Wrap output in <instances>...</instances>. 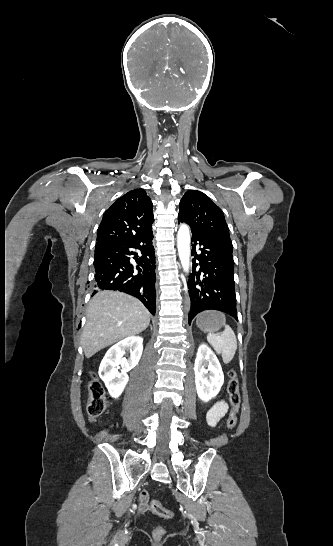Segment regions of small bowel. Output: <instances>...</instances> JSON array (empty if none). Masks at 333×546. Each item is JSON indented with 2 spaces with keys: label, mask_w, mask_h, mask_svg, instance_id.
<instances>
[{
  "label": "small bowel",
  "mask_w": 333,
  "mask_h": 546,
  "mask_svg": "<svg viewBox=\"0 0 333 546\" xmlns=\"http://www.w3.org/2000/svg\"><path fill=\"white\" fill-rule=\"evenodd\" d=\"M228 406L227 403L224 401L217 402L208 412L206 415V421L207 424L210 427H215L220 419L224 417V415L227 413ZM140 511L144 512L147 509L148 500H149V493L147 491H142L140 496Z\"/></svg>",
  "instance_id": "small-bowel-1"
}]
</instances>
